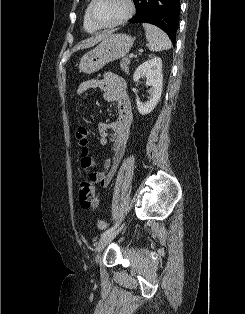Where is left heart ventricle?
<instances>
[{
	"label": "left heart ventricle",
	"mask_w": 245,
	"mask_h": 314,
	"mask_svg": "<svg viewBox=\"0 0 245 314\" xmlns=\"http://www.w3.org/2000/svg\"><path fill=\"white\" fill-rule=\"evenodd\" d=\"M126 11L124 0H97L94 5V16L100 23L107 24L120 18Z\"/></svg>",
	"instance_id": "b2bd125f"
}]
</instances>
